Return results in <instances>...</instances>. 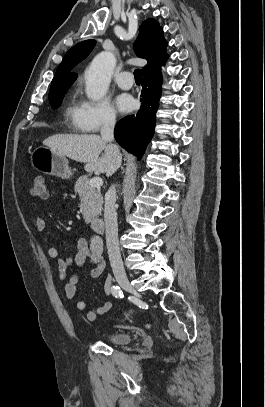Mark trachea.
I'll list each match as a JSON object with an SVG mask.
<instances>
[{
	"label": "trachea",
	"mask_w": 265,
	"mask_h": 407,
	"mask_svg": "<svg viewBox=\"0 0 265 407\" xmlns=\"http://www.w3.org/2000/svg\"><path fill=\"white\" fill-rule=\"evenodd\" d=\"M142 75H143L142 70L136 69L134 71V77H135L136 81H141L142 80Z\"/></svg>",
	"instance_id": "trachea-1"
}]
</instances>
